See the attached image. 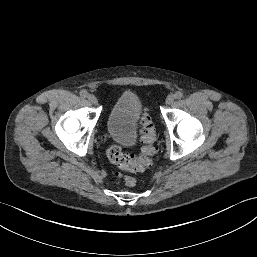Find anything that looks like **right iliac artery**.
Returning a JSON list of instances; mask_svg holds the SVG:
<instances>
[{
    "label": "right iliac artery",
    "instance_id": "right-iliac-artery-1",
    "mask_svg": "<svg viewBox=\"0 0 257 257\" xmlns=\"http://www.w3.org/2000/svg\"><path fill=\"white\" fill-rule=\"evenodd\" d=\"M80 96H82V97H88V92L86 91V90H81L80 91Z\"/></svg>",
    "mask_w": 257,
    "mask_h": 257
}]
</instances>
